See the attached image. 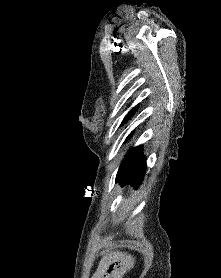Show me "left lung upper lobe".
<instances>
[{
    "label": "left lung upper lobe",
    "mask_w": 221,
    "mask_h": 278,
    "mask_svg": "<svg viewBox=\"0 0 221 278\" xmlns=\"http://www.w3.org/2000/svg\"><path fill=\"white\" fill-rule=\"evenodd\" d=\"M133 113H134V110H131V112L125 117V119L123 120V122H122V124L124 123V122H126L128 119H129V116L130 115H133Z\"/></svg>",
    "instance_id": "obj_1"
}]
</instances>
